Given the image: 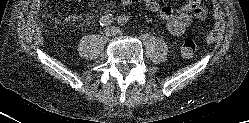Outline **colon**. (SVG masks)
Here are the masks:
<instances>
[{"label":"colon","mask_w":249,"mask_h":123,"mask_svg":"<svg viewBox=\"0 0 249 123\" xmlns=\"http://www.w3.org/2000/svg\"><path fill=\"white\" fill-rule=\"evenodd\" d=\"M196 50H197V44L195 39L190 35L185 36L181 43V48H180L181 55L184 58H192L195 55Z\"/></svg>","instance_id":"obj_1"}]
</instances>
